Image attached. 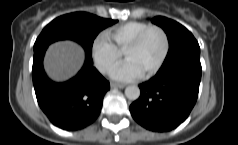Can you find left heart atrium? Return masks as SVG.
Listing matches in <instances>:
<instances>
[{
	"label": "left heart atrium",
	"instance_id": "1",
	"mask_svg": "<svg viewBox=\"0 0 238 145\" xmlns=\"http://www.w3.org/2000/svg\"><path fill=\"white\" fill-rule=\"evenodd\" d=\"M141 76V71L133 62L129 60H126L125 62L117 66L115 69H113V71L111 72V77L114 80L121 82L133 81Z\"/></svg>",
	"mask_w": 238,
	"mask_h": 145
}]
</instances>
